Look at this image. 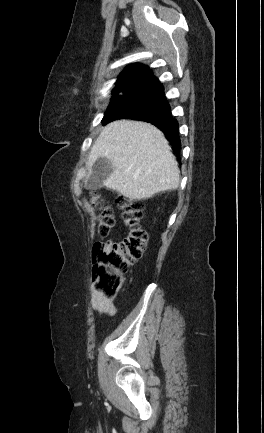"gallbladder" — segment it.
<instances>
[{"label":"gallbladder","mask_w":264,"mask_h":433,"mask_svg":"<svg viewBox=\"0 0 264 433\" xmlns=\"http://www.w3.org/2000/svg\"><path fill=\"white\" fill-rule=\"evenodd\" d=\"M113 172L112 163L106 158H98L90 169L85 179L84 187L89 190H97L103 187L104 182Z\"/></svg>","instance_id":"gallbladder-1"}]
</instances>
